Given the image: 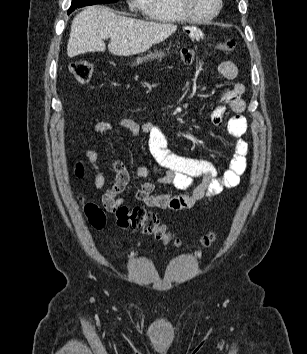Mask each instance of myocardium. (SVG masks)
Instances as JSON below:
<instances>
[{
	"instance_id": "f54148a6",
	"label": "myocardium",
	"mask_w": 307,
	"mask_h": 354,
	"mask_svg": "<svg viewBox=\"0 0 307 354\" xmlns=\"http://www.w3.org/2000/svg\"><path fill=\"white\" fill-rule=\"evenodd\" d=\"M179 8L181 12L189 19L192 21L196 22H209L216 18L219 13L221 12L222 6H223V0H217V8L216 10L209 16H198L194 14L189 5V0H178Z\"/></svg>"
}]
</instances>
